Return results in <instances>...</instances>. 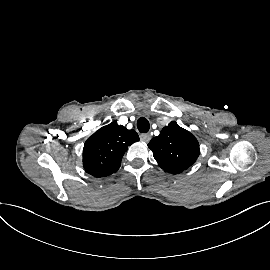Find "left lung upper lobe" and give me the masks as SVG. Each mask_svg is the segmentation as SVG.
<instances>
[{
  "label": "left lung upper lobe",
  "mask_w": 270,
  "mask_h": 270,
  "mask_svg": "<svg viewBox=\"0 0 270 270\" xmlns=\"http://www.w3.org/2000/svg\"><path fill=\"white\" fill-rule=\"evenodd\" d=\"M159 166L166 172L178 174L192 164L200 154L199 143L187 130L171 122L148 144Z\"/></svg>",
  "instance_id": "left-lung-upper-lobe-1"
}]
</instances>
